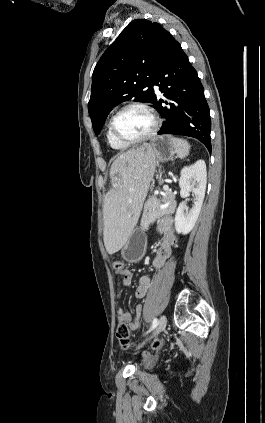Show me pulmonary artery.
I'll return each mask as SVG.
<instances>
[{"label": "pulmonary artery", "mask_w": 265, "mask_h": 423, "mask_svg": "<svg viewBox=\"0 0 265 423\" xmlns=\"http://www.w3.org/2000/svg\"><path fill=\"white\" fill-rule=\"evenodd\" d=\"M154 90H155V92H156V93H158V94H159V89H158V87H157V86H154Z\"/></svg>", "instance_id": "pulmonary-artery-1"}]
</instances>
